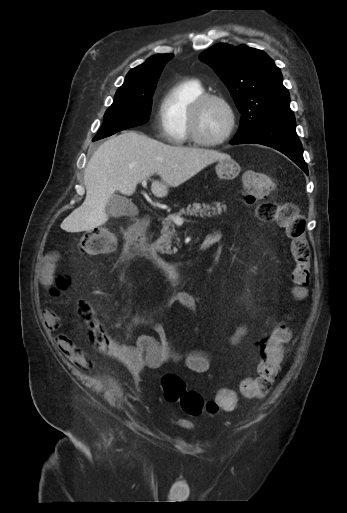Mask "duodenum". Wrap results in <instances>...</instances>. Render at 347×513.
<instances>
[{
	"mask_svg": "<svg viewBox=\"0 0 347 513\" xmlns=\"http://www.w3.org/2000/svg\"><path fill=\"white\" fill-rule=\"evenodd\" d=\"M150 225L149 216L145 215L136 221L126 231L128 240V254L138 259H144L156 264L164 270L172 282H181L184 279V270L197 262V259L188 263H170L158 257L148 246ZM217 241V235L208 234L202 241L200 252H205Z\"/></svg>",
	"mask_w": 347,
	"mask_h": 513,
	"instance_id": "1",
	"label": "duodenum"
}]
</instances>
